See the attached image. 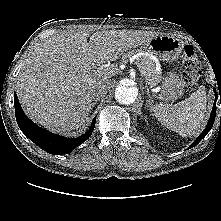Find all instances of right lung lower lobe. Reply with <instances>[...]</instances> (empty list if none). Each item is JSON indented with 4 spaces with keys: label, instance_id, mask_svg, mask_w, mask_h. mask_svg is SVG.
I'll use <instances>...</instances> for the list:
<instances>
[{
    "label": "right lung lower lobe",
    "instance_id": "right-lung-lower-lobe-1",
    "mask_svg": "<svg viewBox=\"0 0 221 221\" xmlns=\"http://www.w3.org/2000/svg\"><path fill=\"white\" fill-rule=\"evenodd\" d=\"M15 115L18 126L31 141L44 151L53 155L69 154L73 149L85 142L92 134L96 118L93 119L89 130L79 138H65L52 134L33 123L23 112L17 95L14 97Z\"/></svg>",
    "mask_w": 221,
    "mask_h": 221
}]
</instances>
